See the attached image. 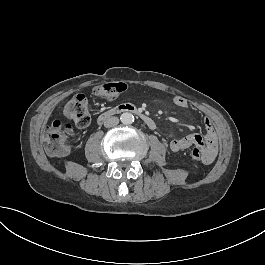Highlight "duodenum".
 Wrapping results in <instances>:
<instances>
[{
    "mask_svg": "<svg viewBox=\"0 0 265 265\" xmlns=\"http://www.w3.org/2000/svg\"><path fill=\"white\" fill-rule=\"evenodd\" d=\"M127 112L134 113L135 115H137L139 119L143 121L149 128L154 129L156 127V123L151 116L147 115L146 113L142 112L140 109L131 104H120L117 106H113L112 108L102 112L98 116L97 122L99 124H102L107 119L113 116Z\"/></svg>",
    "mask_w": 265,
    "mask_h": 265,
    "instance_id": "duodenum-1",
    "label": "duodenum"
}]
</instances>
